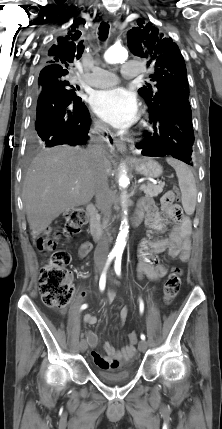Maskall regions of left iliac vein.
I'll return each mask as SVG.
<instances>
[{"instance_id":"1","label":"left iliac vein","mask_w":222,"mask_h":429,"mask_svg":"<svg viewBox=\"0 0 222 429\" xmlns=\"http://www.w3.org/2000/svg\"><path fill=\"white\" fill-rule=\"evenodd\" d=\"M109 278L111 279V277H110V275H109ZM147 342L145 341V340H141V341H139V343H138V349L140 350V351H145L146 349H147Z\"/></svg>"}]
</instances>
